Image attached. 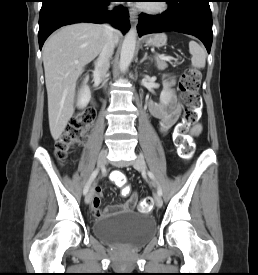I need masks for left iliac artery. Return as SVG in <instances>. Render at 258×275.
Masks as SVG:
<instances>
[{
    "mask_svg": "<svg viewBox=\"0 0 258 275\" xmlns=\"http://www.w3.org/2000/svg\"><path fill=\"white\" fill-rule=\"evenodd\" d=\"M148 175H149V177L157 184V193H158V195H159V196H162V189H161V187L158 185V183L156 182L153 173L149 171V172H148Z\"/></svg>",
    "mask_w": 258,
    "mask_h": 275,
    "instance_id": "obj_1",
    "label": "left iliac artery"
}]
</instances>
